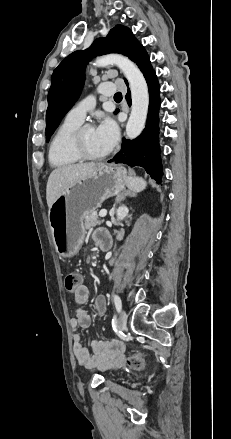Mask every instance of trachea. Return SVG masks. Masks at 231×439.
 I'll list each match as a JSON object with an SVG mask.
<instances>
[{"mask_svg":"<svg viewBox=\"0 0 231 439\" xmlns=\"http://www.w3.org/2000/svg\"><path fill=\"white\" fill-rule=\"evenodd\" d=\"M114 99H115V100H120V99H122V93H121V92H117V93L114 95Z\"/></svg>","mask_w":231,"mask_h":439,"instance_id":"1","label":"trachea"}]
</instances>
